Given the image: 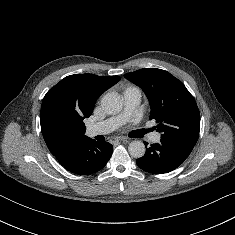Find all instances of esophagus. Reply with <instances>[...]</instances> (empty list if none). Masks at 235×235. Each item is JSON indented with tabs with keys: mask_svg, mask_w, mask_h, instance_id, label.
<instances>
[{
	"mask_svg": "<svg viewBox=\"0 0 235 235\" xmlns=\"http://www.w3.org/2000/svg\"><path fill=\"white\" fill-rule=\"evenodd\" d=\"M120 141H127V138H125V137H112L110 139L111 144H117Z\"/></svg>",
	"mask_w": 235,
	"mask_h": 235,
	"instance_id": "esophagus-1",
	"label": "esophagus"
}]
</instances>
